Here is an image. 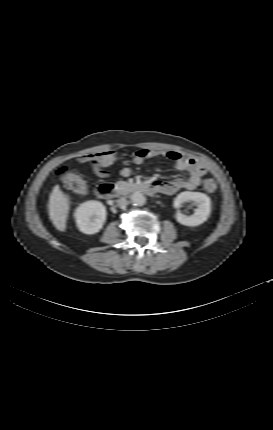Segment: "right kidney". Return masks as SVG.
<instances>
[{
    "label": "right kidney",
    "mask_w": 273,
    "mask_h": 430,
    "mask_svg": "<svg viewBox=\"0 0 273 430\" xmlns=\"http://www.w3.org/2000/svg\"><path fill=\"white\" fill-rule=\"evenodd\" d=\"M75 219L81 232L95 234L106 220L105 206L99 201H86L75 210Z\"/></svg>",
    "instance_id": "1"
}]
</instances>
